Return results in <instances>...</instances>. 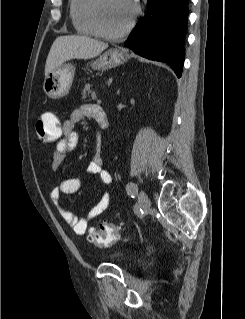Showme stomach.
<instances>
[{"label":"stomach","instance_id":"stomach-1","mask_svg":"<svg viewBox=\"0 0 245 319\" xmlns=\"http://www.w3.org/2000/svg\"><path fill=\"white\" fill-rule=\"evenodd\" d=\"M129 55L120 49H110L91 63L94 69H107L124 63ZM75 68L72 64L63 63L56 67L43 82V90L51 99H60L69 93L73 83Z\"/></svg>","mask_w":245,"mask_h":319}]
</instances>
